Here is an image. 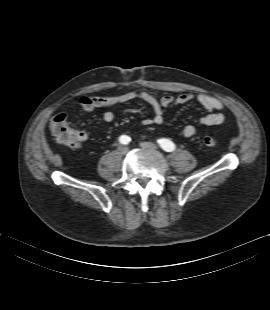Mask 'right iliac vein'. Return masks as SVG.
<instances>
[{
    "label": "right iliac vein",
    "mask_w": 270,
    "mask_h": 310,
    "mask_svg": "<svg viewBox=\"0 0 270 310\" xmlns=\"http://www.w3.org/2000/svg\"><path fill=\"white\" fill-rule=\"evenodd\" d=\"M119 151L122 155H126L128 153V148L126 146L119 147Z\"/></svg>",
    "instance_id": "63e3f726"
}]
</instances>
